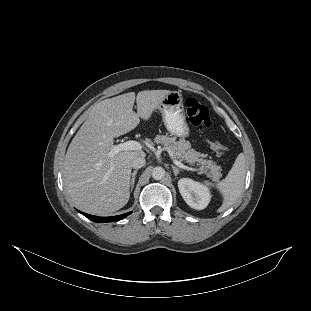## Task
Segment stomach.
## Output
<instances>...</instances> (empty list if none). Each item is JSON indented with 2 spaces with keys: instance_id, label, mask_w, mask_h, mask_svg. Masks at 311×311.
<instances>
[{
  "instance_id": "stomach-1",
  "label": "stomach",
  "mask_w": 311,
  "mask_h": 311,
  "mask_svg": "<svg viewBox=\"0 0 311 311\" xmlns=\"http://www.w3.org/2000/svg\"><path fill=\"white\" fill-rule=\"evenodd\" d=\"M166 130L178 138H186L190 134L183 96L179 91H171L158 106Z\"/></svg>"
}]
</instances>
